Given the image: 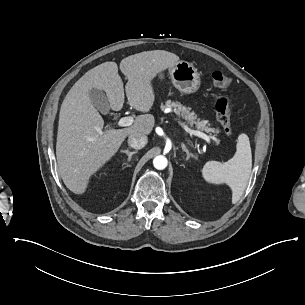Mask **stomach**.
Masks as SVG:
<instances>
[{
	"label": "stomach",
	"mask_w": 305,
	"mask_h": 305,
	"mask_svg": "<svg viewBox=\"0 0 305 305\" xmlns=\"http://www.w3.org/2000/svg\"><path fill=\"white\" fill-rule=\"evenodd\" d=\"M173 85L185 94L196 93L201 86L200 74L193 64L180 61L169 70Z\"/></svg>",
	"instance_id": "stomach-1"
}]
</instances>
